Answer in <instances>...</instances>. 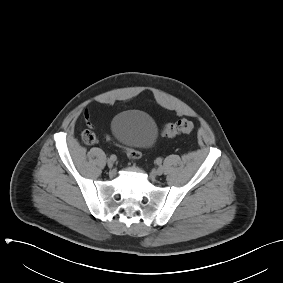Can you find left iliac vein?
Instances as JSON below:
<instances>
[{
	"label": "left iliac vein",
	"mask_w": 283,
	"mask_h": 283,
	"mask_svg": "<svg viewBox=\"0 0 283 283\" xmlns=\"http://www.w3.org/2000/svg\"><path fill=\"white\" fill-rule=\"evenodd\" d=\"M157 175H162L164 172V168L162 166H159L156 170H155Z\"/></svg>",
	"instance_id": "4c4485c4"
}]
</instances>
